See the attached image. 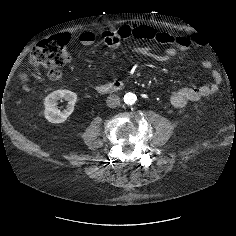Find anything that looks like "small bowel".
Listing matches in <instances>:
<instances>
[{"label": "small bowel", "mask_w": 236, "mask_h": 236, "mask_svg": "<svg viewBox=\"0 0 236 236\" xmlns=\"http://www.w3.org/2000/svg\"><path fill=\"white\" fill-rule=\"evenodd\" d=\"M62 37L68 39L67 34H61ZM134 37L136 39L152 40L156 43L167 45L168 47L159 53L151 52L150 55L160 62H171L179 51L186 50L191 46L199 45L202 41L201 37L193 34L190 36L175 35L166 32H159L154 28L144 25L122 26L116 31H103L101 39L105 45L110 48H118L121 41L126 38ZM80 42L84 46H90L95 41L93 32L85 31L80 34ZM140 50L147 52L148 50L141 47ZM204 68H210L211 62L205 60L202 62ZM55 79H58L55 76ZM222 85L221 74L217 71L212 72V83L201 86H172L171 103L176 108H183L187 104L198 101L210 94L219 91Z\"/></svg>", "instance_id": "obj_1"}]
</instances>
